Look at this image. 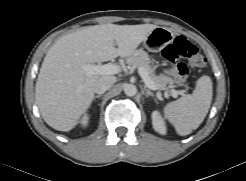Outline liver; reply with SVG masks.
Segmentation results:
<instances>
[{
	"label": "liver",
	"instance_id": "6515ba94",
	"mask_svg": "<svg viewBox=\"0 0 246 181\" xmlns=\"http://www.w3.org/2000/svg\"><path fill=\"white\" fill-rule=\"evenodd\" d=\"M157 27L108 23L81 29L56 41L44 58L35 87L44 121L59 131L73 129L90 107L97 81L109 76L87 75L82 65L131 56Z\"/></svg>",
	"mask_w": 246,
	"mask_h": 181
}]
</instances>
